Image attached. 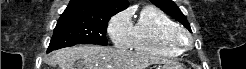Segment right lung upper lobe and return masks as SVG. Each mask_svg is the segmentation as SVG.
Listing matches in <instances>:
<instances>
[{"label": "right lung upper lobe", "instance_id": "cb5924a9", "mask_svg": "<svg viewBox=\"0 0 246 69\" xmlns=\"http://www.w3.org/2000/svg\"><path fill=\"white\" fill-rule=\"evenodd\" d=\"M129 6L127 0H71L59 20L63 19H110Z\"/></svg>", "mask_w": 246, "mask_h": 69}]
</instances>
